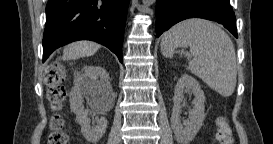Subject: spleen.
<instances>
[{"instance_id": "3e777b00", "label": "spleen", "mask_w": 273, "mask_h": 144, "mask_svg": "<svg viewBox=\"0 0 273 144\" xmlns=\"http://www.w3.org/2000/svg\"><path fill=\"white\" fill-rule=\"evenodd\" d=\"M177 47H190V71L224 97L233 94L237 79L234 45L225 31L205 19H188L164 33L161 51L171 58Z\"/></svg>"}]
</instances>
